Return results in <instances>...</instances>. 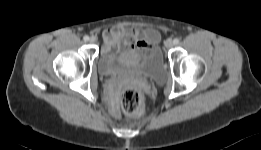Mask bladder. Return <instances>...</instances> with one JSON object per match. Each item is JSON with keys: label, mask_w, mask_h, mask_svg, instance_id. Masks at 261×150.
<instances>
[{"label": "bladder", "mask_w": 261, "mask_h": 150, "mask_svg": "<svg viewBox=\"0 0 261 150\" xmlns=\"http://www.w3.org/2000/svg\"><path fill=\"white\" fill-rule=\"evenodd\" d=\"M98 69L106 76L134 73L156 82H161L166 77L163 54L157 43L147 50H138L128 45L106 47L100 54Z\"/></svg>", "instance_id": "1"}]
</instances>
